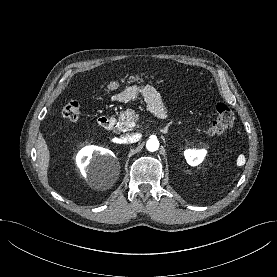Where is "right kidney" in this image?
Wrapping results in <instances>:
<instances>
[{
	"mask_svg": "<svg viewBox=\"0 0 277 277\" xmlns=\"http://www.w3.org/2000/svg\"><path fill=\"white\" fill-rule=\"evenodd\" d=\"M114 154L108 150L97 146H87L83 148L76 157V162L82 174L92 176L95 162H114Z\"/></svg>",
	"mask_w": 277,
	"mask_h": 277,
	"instance_id": "1",
	"label": "right kidney"
}]
</instances>
